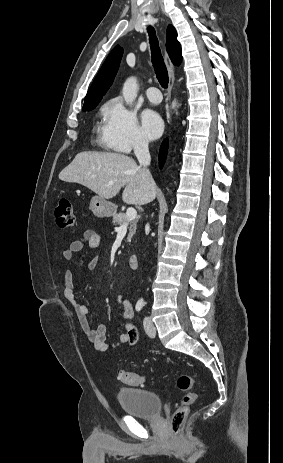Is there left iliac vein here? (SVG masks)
Listing matches in <instances>:
<instances>
[{
    "instance_id": "obj_1",
    "label": "left iliac vein",
    "mask_w": 283,
    "mask_h": 463,
    "mask_svg": "<svg viewBox=\"0 0 283 463\" xmlns=\"http://www.w3.org/2000/svg\"><path fill=\"white\" fill-rule=\"evenodd\" d=\"M143 324H144V329H145L147 335L149 337H151V338L155 337L156 329H155V326H154L151 318L146 316L144 318Z\"/></svg>"
}]
</instances>
